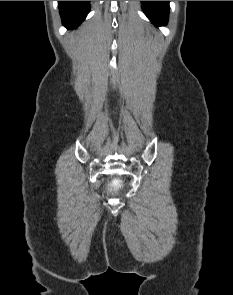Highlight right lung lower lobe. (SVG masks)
<instances>
[{
    "instance_id": "98d812e1",
    "label": "right lung lower lobe",
    "mask_w": 233,
    "mask_h": 295,
    "mask_svg": "<svg viewBox=\"0 0 233 295\" xmlns=\"http://www.w3.org/2000/svg\"><path fill=\"white\" fill-rule=\"evenodd\" d=\"M62 22L68 29L76 28L87 16L90 1H58Z\"/></svg>"
}]
</instances>
